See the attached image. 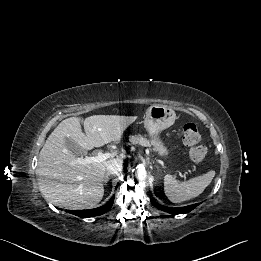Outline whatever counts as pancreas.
<instances>
[{"label": "pancreas", "mask_w": 261, "mask_h": 261, "mask_svg": "<svg viewBox=\"0 0 261 261\" xmlns=\"http://www.w3.org/2000/svg\"><path fill=\"white\" fill-rule=\"evenodd\" d=\"M130 143L133 145H141V146H151V141L147 140L145 137L141 135L130 136Z\"/></svg>", "instance_id": "obj_1"}]
</instances>
